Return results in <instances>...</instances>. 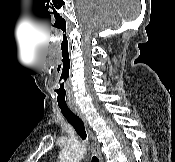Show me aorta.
<instances>
[{
  "label": "aorta",
  "mask_w": 175,
  "mask_h": 162,
  "mask_svg": "<svg viewBox=\"0 0 175 162\" xmlns=\"http://www.w3.org/2000/svg\"><path fill=\"white\" fill-rule=\"evenodd\" d=\"M86 153V147L80 142H69L60 153V162H80Z\"/></svg>",
  "instance_id": "1"
}]
</instances>
